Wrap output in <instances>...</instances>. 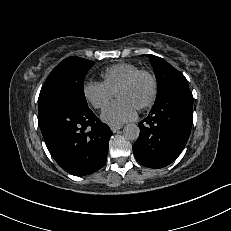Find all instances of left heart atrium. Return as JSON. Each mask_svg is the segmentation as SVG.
<instances>
[{
    "mask_svg": "<svg viewBox=\"0 0 231 231\" xmlns=\"http://www.w3.org/2000/svg\"><path fill=\"white\" fill-rule=\"evenodd\" d=\"M136 107L124 99H117L101 115L104 122L118 126L136 117Z\"/></svg>",
    "mask_w": 231,
    "mask_h": 231,
    "instance_id": "39dd6f15",
    "label": "left heart atrium"
}]
</instances>
